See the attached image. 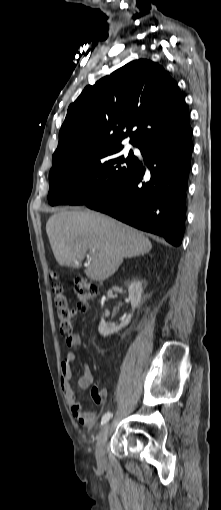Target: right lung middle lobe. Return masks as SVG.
Wrapping results in <instances>:
<instances>
[{
  "instance_id": "1",
  "label": "right lung middle lobe",
  "mask_w": 221,
  "mask_h": 510,
  "mask_svg": "<svg viewBox=\"0 0 221 510\" xmlns=\"http://www.w3.org/2000/svg\"><path fill=\"white\" fill-rule=\"evenodd\" d=\"M105 145L73 153L52 167L49 173L50 205H83L124 183L139 166L132 150Z\"/></svg>"
}]
</instances>
